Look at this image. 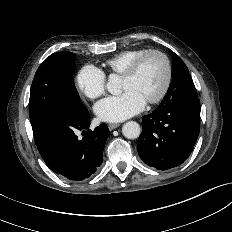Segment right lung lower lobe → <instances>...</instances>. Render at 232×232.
Masks as SVG:
<instances>
[{
	"mask_svg": "<svg viewBox=\"0 0 232 232\" xmlns=\"http://www.w3.org/2000/svg\"><path fill=\"white\" fill-rule=\"evenodd\" d=\"M89 112H64L48 125L43 137L36 142L47 166L56 174L81 181L94 174L103 160V150L110 134L106 124L89 129ZM82 130L78 139L75 132Z\"/></svg>",
	"mask_w": 232,
	"mask_h": 232,
	"instance_id": "98d812e1",
	"label": "right lung lower lobe"
}]
</instances>
